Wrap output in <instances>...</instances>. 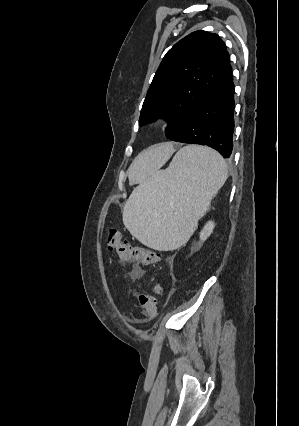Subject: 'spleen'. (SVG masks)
<instances>
[{
	"label": "spleen",
	"instance_id": "3e777b00",
	"mask_svg": "<svg viewBox=\"0 0 299 426\" xmlns=\"http://www.w3.org/2000/svg\"><path fill=\"white\" fill-rule=\"evenodd\" d=\"M227 178V163L217 151L185 146L167 169L147 176L133 190L123 223L145 246L175 250L189 239Z\"/></svg>",
	"mask_w": 299,
	"mask_h": 426
}]
</instances>
